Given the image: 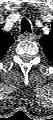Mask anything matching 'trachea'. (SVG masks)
Returning <instances> with one entry per match:
<instances>
[{"instance_id": "1", "label": "trachea", "mask_w": 53, "mask_h": 120, "mask_svg": "<svg viewBox=\"0 0 53 120\" xmlns=\"http://www.w3.org/2000/svg\"><path fill=\"white\" fill-rule=\"evenodd\" d=\"M25 32L31 33V26L29 21L26 18H23L21 20V33Z\"/></svg>"}]
</instances>
